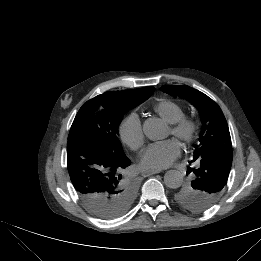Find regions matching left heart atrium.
Segmentation results:
<instances>
[{
	"label": "left heart atrium",
	"instance_id": "39dd6f15",
	"mask_svg": "<svg viewBox=\"0 0 261 261\" xmlns=\"http://www.w3.org/2000/svg\"><path fill=\"white\" fill-rule=\"evenodd\" d=\"M181 153V147L175 139L149 144L140 156V165L148 170H160L170 166Z\"/></svg>",
	"mask_w": 261,
	"mask_h": 261
}]
</instances>
